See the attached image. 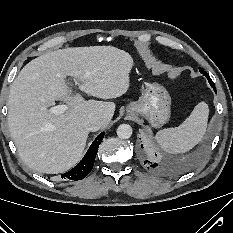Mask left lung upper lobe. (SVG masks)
Masks as SVG:
<instances>
[{"instance_id":"5c2ea615","label":"left lung upper lobe","mask_w":233,"mask_h":233,"mask_svg":"<svg viewBox=\"0 0 233 233\" xmlns=\"http://www.w3.org/2000/svg\"><path fill=\"white\" fill-rule=\"evenodd\" d=\"M200 73L205 72L202 68H199Z\"/></svg>"}]
</instances>
